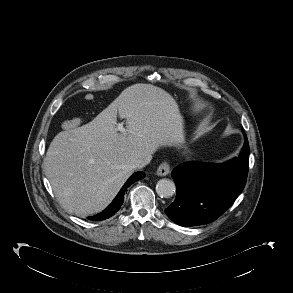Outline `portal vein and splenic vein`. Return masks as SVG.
<instances>
[{
  "label": "portal vein and splenic vein",
  "mask_w": 293,
  "mask_h": 293,
  "mask_svg": "<svg viewBox=\"0 0 293 293\" xmlns=\"http://www.w3.org/2000/svg\"><path fill=\"white\" fill-rule=\"evenodd\" d=\"M117 129L121 132V133H126V129L123 127V123L118 124L117 125Z\"/></svg>",
  "instance_id": "1"
}]
</instances>
